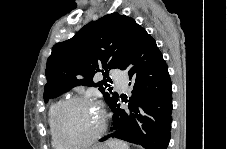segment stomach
I'll return each instance as SVG.
<instances>
[{"label":"stomach","instance_id":"obj_1","mask_svg":"<svg viewBox=\"0 0 227 149\" xmlns=\"http://www.w3.org/2000/svg\"><path fill=\"white\" fill-rule=\"evenodd\" d=\"M96 149H108L107 146H101L99 148H96Z\"/></svg>","mask_w":227,"mask_h":149}]
</instances>
